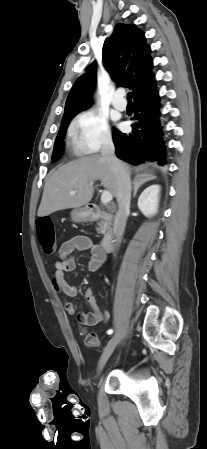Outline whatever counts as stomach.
Returning <instances> with one entry per match:
<instances>
[{
    "instance_id": "stomach-1",
    "label": "stomach",
    "mask_w": 207,
    "mask_h": 449,
    "mask_svg": "<svg viewBox=\"0 0 207 449\" xmlns=\"http://www.w3.org/2000/svg\"><path fill=\"white\" fill-rule=\"evenodd\" d=\"M90 217H91L90 212L86 207L74 208L71 211V219L74 222H85L88 221Z\"/></svg>"
}]
</instances>
